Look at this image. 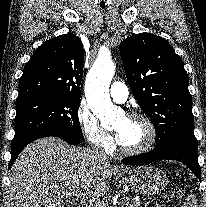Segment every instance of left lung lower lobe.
Here are the masks:
<instances>
[{"instance_id": "left-lung-lower-lobe-1", "label": "left lung lower lobe", "mask_w": 206, "mask_h": 207, "mask_svg": "<svg viewBox=\"0 0 206 207\" xmlns=\"http://www.w3.org/2000/svg\"><path fill=\"white\" fill-rule=\"evenodd\" d=\"M161 159L178 160L184 163L201 180L198 148L197 145L191 143L175 144L162 150H152L137 156H131L124 159L123 163L126 165H143Z\"/></svg>"}]
</instances>
